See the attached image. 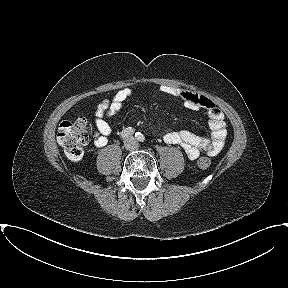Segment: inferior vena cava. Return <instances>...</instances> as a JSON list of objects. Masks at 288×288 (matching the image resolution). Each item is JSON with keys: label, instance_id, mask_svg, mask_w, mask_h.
<instances>
[{"label": "inferior vena cava", "instance_id": "1", "mask_svg": "<svg viewBox=\"0 0 288 288\" xmlns=\"http://www.w3.org/2000/svg\"><path fill=\"white\" fill-rule=\"evenodd\" d=\"M136 147H137V144L135 143V144L131 145L130 149H135Z\"/></svg>", "mask_w": 288, "mask_h": 288}]
</instances>
